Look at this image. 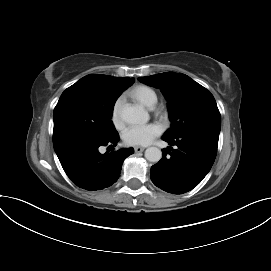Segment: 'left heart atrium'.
Instances as JSON below:
<instances>
[{"instance_id":"left-heart-atrium-1","label":"left heart atrium","mask_w":271,"mask_h":271,"mask_svg":"<svg viewBox=\"0 0 271 271\" xmlns=\"http://www.w3.org/2000/svg\"><path fill=\"white\" fill-rule=\"evenodd\" d=\"M161 133V126L155 123L130 125L123 132V140L127 145L145 146L150 144Z\"/></svg>"}]
</instances>
